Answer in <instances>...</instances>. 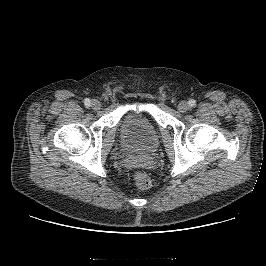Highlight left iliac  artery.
I'll use <instances>...</instances> for the list:
<instances>
[{
  "label": "left iliac artery",
  "mask_w": 266,
  "mask_h": 266,
  "mask_svg": "<svg viewBox=\"0 0 266 266\" xmlns=\"http://www.w3.org/2000/svg\"><path fill=\"white\" fill-rule=\"evenodd\" d=\"M189 104H190V106H195L196 105V102H195V100H193V99H191L190 101H189Z\"/></svg>",
  "instance_id": "44dca946"
}]
</instances>
